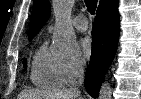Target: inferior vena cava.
Masks as SVG:
<instances>
[{
    "mask_svg": "<svg viewBox=\"0 0 141 99\" xmlns=\"http://www.w3.org/2000/svg\"><path fill=\"white\" fill-rule=\"evenodd\" d=\"M77 76H78V86H81L84 82V68L81 64L77 65Z\"/></svg>",
    "mask_w": 141,
    "mask_h": 99,
    "instance_id": "602c4592",
    "label": "inferior vena cava"
}]
</instances>
